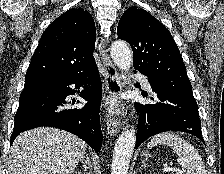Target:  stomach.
<instances>
[{"label": "stomach", "instance_id": "0dacf381", "mask_svg": "<svg viewBox=\"0 0 224 174\" xmlns=\"http://www.w3.org/2000/svg\"><path fill=\"white\" fill-rule=\"evenodd\" d=\"M144 155L147 157L148 156V154L147 153H144Z\"/></svg>", "mask_w": 224, "mask_h": 174}]
</instances>
